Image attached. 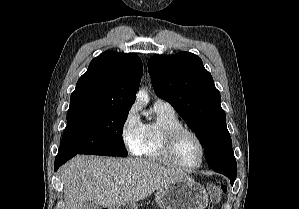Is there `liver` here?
I'll use <instances>...</instances> for the list:
<instances>
[{
    "label": "liver",
    "instance_id": "obj_1",
    "mask_svg": "<svg viewBox=\"0 0 299 209\" xmlns=\"http://www.w3.org/2000/svg\"><path fill=\"white\" fill-rule=\"evenodd\" d=\"M65 209H82L85 200L119 207L135 204L163 186L188 177L186 173L149 160L78 155L59 170ZM124 184H118V181Z\"/></svg>",
    "mask_w": 299,
    "mask_h": 209
}]
</instances>
